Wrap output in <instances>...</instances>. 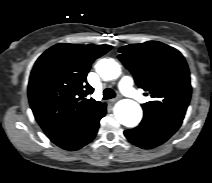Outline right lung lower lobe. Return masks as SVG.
Instances as JSON below:
<instances>
[{"instance_id": "obj_1", "label": "right lung lower lobe", "mask_w": 212, "mask_h": 183, "mask_svg": "<svg viewBox=\"0 0 212 183\" xmlns=\"http://www.w3.org/2000/svg\"><path fill=\"white\" fill-rule=\"evenodd\" d=\"M105 113L106 109L103 110L92 121L80 125L78 128H76L71 132L50 138V140L57 146L65 150L69 151L78 150L94 139L99 128V121L105 115Z\"/></svg>"}]
</instances>
